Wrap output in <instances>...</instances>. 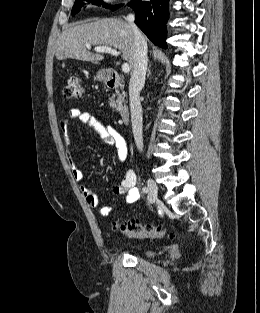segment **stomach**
Instances as JSON below:
<instances>
[{"mask_svg":"<svg viewBox=\"0 0 260 313\" xmlns=\"http://www.w3.org/2000/svg\"><path fill=\"white\" fill-rule=\"evenodd\" d=\"M96 79L103 80L104 79V74L102 72H98L97 75H96Z\"/></svg>","mask_w":260,"mask_h":313,"instance_id":"stomach-1","label":"stomach"}]
</instances>
